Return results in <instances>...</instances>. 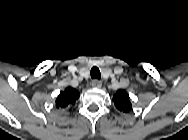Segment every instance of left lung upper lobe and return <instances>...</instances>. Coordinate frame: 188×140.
Masks as SVG:
<instances>
[{
    "mask_svg": "<svg viewBox=\"0 0 188 140\" xmlns=\"http://www.w3.org/2000/svg\"><path fill=\"white\" fill-rule=\"evenodd\" d=\"M113 101L118 110L127 113L131 110L132 105L129 100V95L125 90H119L113 97Z\"/></svg>",
    "mask_w": 188,
    "mask_h": 140,
    "instance_id": "1",
    "label": "left lung upper lobe"
}]
</instances>
